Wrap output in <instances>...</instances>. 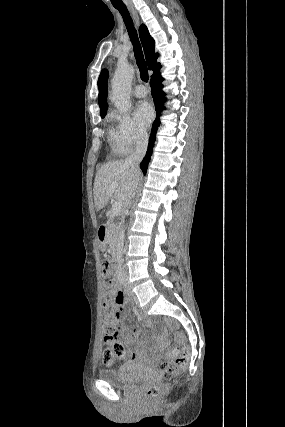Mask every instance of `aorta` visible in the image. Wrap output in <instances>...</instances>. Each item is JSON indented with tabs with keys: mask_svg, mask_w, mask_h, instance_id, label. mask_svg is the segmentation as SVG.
<instances>
[{
	"mask_svg": "<svg viewBox=\"0 0 285 427\" xmlns=\"http://www.w3.org/2000/svg\"><path fill=\"white\" fill-rule=\"evenodd\" d=\"M134 75V68L124 62L117 65V69L111 83V101L114 103L120 113H126L131 107L130 91L131 81ZM125 228L122 227L119 233L117 245V261L122 264V255L124 248Z\"/></svg>",
	"mask_w": 285,
	"mask_h": 427,
	"instance_id": "762f6f07",
	"label": "aorta"
}]
</instances>
